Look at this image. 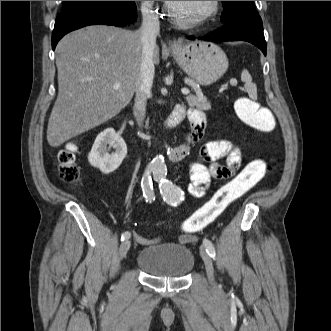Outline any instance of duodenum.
Returning <instances> with one entry per match:
<instances>
[{
    "label": "duodenum",
    "instance_id": "410a0bca",
    "mask_svg": "<svg viewBox=\"0 0 331 331\" xmlns=\"http://www.w3.org/2000/svg\"><path fill=\"white\" fill-rule=\"evenodd\" d=\"M184 113L180 108H176L173 110V112L169 115L167 121H166V128L171 129L175 127L183 118Z\"/></svg>",
    "mask_w": 331,
    "mask_h": 331
}]
</instances>
